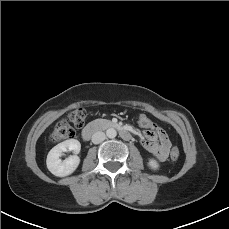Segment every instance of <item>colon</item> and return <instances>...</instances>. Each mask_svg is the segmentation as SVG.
<instances>
[{"instance_id":"1","label":"colon","mask_w":229,"mask_h":229,"mask_svg":"<svg viewBox=\"0 0 229 229\" xmlns=\"http://www.w3.org/2000/svg\"><path fill=\"white\" fill-rule=\"evenodd\" d=\"M69 120H60L56 123L50 136L52 142H60L63 140L71 139L75 135V131L71 123L77 127L83 125L85 120V112L83 109H74L69 113ZM180 157V151L177 147H174L171 151L170 158L176 162Z\"/></svg>"}]
</instances>
